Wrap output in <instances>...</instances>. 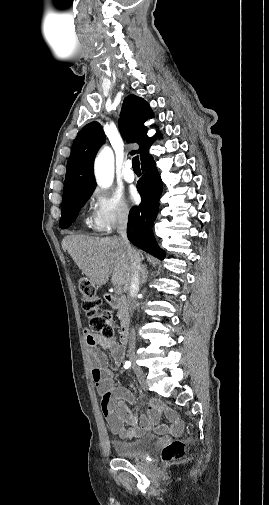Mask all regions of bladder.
<instances>
[{"label": "bladder", "mask_w": 269, "mask_h": 505, "mask_svg": "<svg viewBox=\"0 0 269 505\" xmlns=\"http://www.w3.org/2000/svg\"><path fill=\"white\" fill-rule=\"evenodd\" d=\"M154 443L155 438L146 435L134 441H113L112 447L121 458H138L149 451Z\"/></svg>", "instance_id": "obj_1"}]
</instances>
